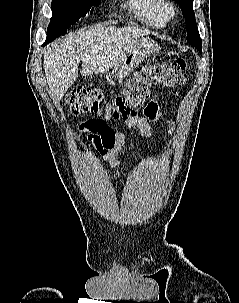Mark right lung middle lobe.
Segmentation results:
<instances>
[{
    "label": "right lung middle lobe",
    "mask_w": 239,
    "mask_h": 303,
    "mask_svg": "<svg viewBox=\"0 0 239 303\" xmlns=\"http://www.w3.org/2000/svg\"><path fill=\"white\" fill-rule=\"evenodd\" d=\"M100 0H52V18L48 27L50 41L67 33V29L90 11Z\"/></svg>",
    "instance_id": "1"
}]
</instances>
